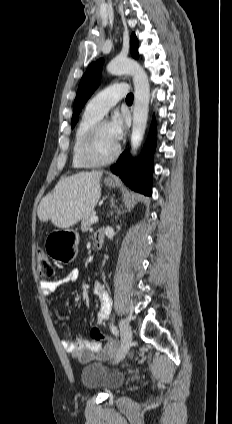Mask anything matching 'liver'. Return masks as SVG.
Segmentation results:
<instances>
[{
    "mask_svg": "<svg viewBox=\"0 0 232 424\" xmlns=\"http://www.w3.org/2000/svg\"><path fill=\"white\" fill-rule=\"evenodd\" d=\"M102 171L79 172L60 179L54 190L38 206L41 222L69 228L93 211L101 197Z\"/></svg>",
    "mask_w": 232,
    "mask_h": 424,
    "instance_id": "obj_1",
    "label": "liver"
}]
</instances>
